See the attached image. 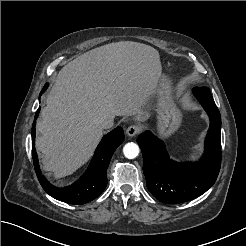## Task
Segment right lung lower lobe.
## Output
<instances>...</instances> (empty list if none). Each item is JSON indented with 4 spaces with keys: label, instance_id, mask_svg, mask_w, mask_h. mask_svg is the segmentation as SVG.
<instances>
[{
    "label": "right lung lower lobe",
    "instance_id": "98d812e1",
    "mask_svg": "<svg viewBox=\"0 0 246 246\" xmlns=\"http://www.w3.org/2000/svg\"><path fill=\"white\" fill-rule=\"evenodd\" d=\"M48 84L44 86L40 95L46 90ZM40 108L35 114V120L32 126V157L35 166V172L43 189L53 198L69 203L80 205L97 198L107 185L106 171L111 157L116 148L124 141V132L121 127H117L106 136L98 145L91 164L86 173L73 185L57 188L50 184L42 175L39 168L38 157L35 150V125Z\"/></svg>",
    "mask_w": 246,
    "mask_h": 246
}]
</instances>
